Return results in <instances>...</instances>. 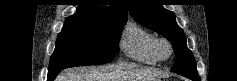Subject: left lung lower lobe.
<instances>
[{
    "mask_svg": "<svg viewBox=\"0 0 237 81\" xmlns=\"http://www.w3.org/2000/svg\"><path fill=\"white\" fill-rule=\"evenodd\" d=\"M185 77H187V78H189V79H191V80H193V81H200V80H198V79H196V78H193V77H189V76H185Z\"/></svg>",
    "mask_w": 237,
    "mask_h": 81,
    "instance_id": "left-lung-lower-lobe-1",
    "label": "left lung lower lobe"
}]
</instances>
